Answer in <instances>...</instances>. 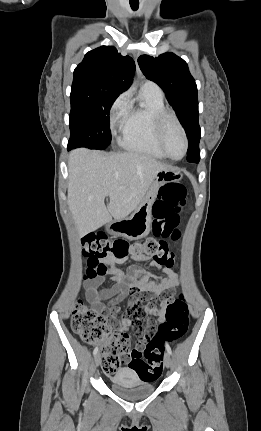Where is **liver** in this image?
<instances>
[{"label": "liver", "mask_w": 261, "mask_h": 431, "mask_svg": "<svg viewBox=\"0 0 261 431\" xmlns=\"http://www.w3.org/2000/svg\"><path fill=\"white\" fill-rule=\"evenodd\" d=\"M169 168L136 152L72 151L67 201L79 236L97 230L112 218H126L138 207L157 173Z\"/></svg>", "instance_id": "obj_1"}]
</instances>
